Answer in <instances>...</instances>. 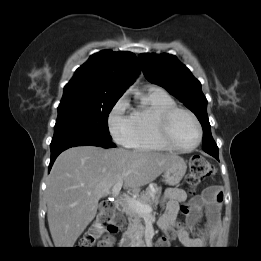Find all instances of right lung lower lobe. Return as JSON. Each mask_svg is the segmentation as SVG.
Masks as SVG:
<instances>
[{
  "label": "right lung lower lobe",
  "mask_w": 261,
  "mask_h": 261,
  "mask_svg": "<svg viewBox=\"0 0 261 261\" xmlns=\"http://www.w3.org/2000/svg\"><path fill=\"white\" fill-rule=\"evenodd\" d=\"M85 145L101 146L103 148L115 147V144L111 142V139L92 134H78L52 139L50 144L51 160L49 164V171L55 159L61 152L70 147Z\"/></svg>",
  "instance_id": "right-lung-lower-lobe-1"
}]
</instances>
